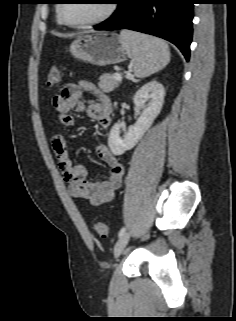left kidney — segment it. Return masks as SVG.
I'll use <instances>...</instances> for the list:
<instances>
[{"label":"left kidney","instance_id":"obj_1","mask_svg":"<svg viewBox=\"0 0 236 321\" xmlns=\"http://www.w3.org/2000/svg\"><path fill=\"white\" fill-rule=\"evenodd\" d=\"M164 97L165 89L156 80L150 81L137 91L134 96V104L137 108L142 109V113L136 123L129 127L123 138L120 137L122 124L116 123L113 125L108 138V145L114 155H121L137 144L159 115Z\"/></svg>","mask_w":236,"mask_h":321}]
</instances>
